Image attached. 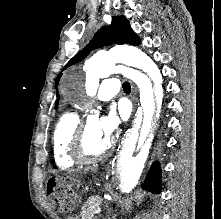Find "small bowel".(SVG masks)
<instances>
[{
  "instance_id": "obj_1",
  "label": "small bowel",
  "mask_w": 221,
  "mask_h": 219,
  "mask_svg": "<svg viewBox=\"0 0 221 219\" xmlns=\"http://www.w3.org/2000/svg\"><path fill=\"white\" fill-rule=\"evenodd\" d=\"M67 219H78V218L74 217V216H71V217H68Z\"/></svg>"
}]
</instances>
